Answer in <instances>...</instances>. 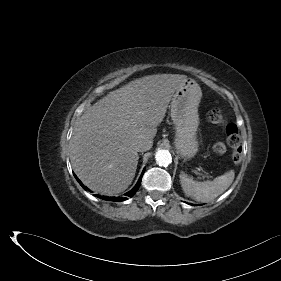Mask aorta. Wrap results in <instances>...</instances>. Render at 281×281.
<instances>
[{
  "label": "aorta",
  "mask_w": 281,
  "mask_h": 281,
  "mask_svg": "<svg viewBox=\"0 0 281 281\" xmlns=\"http://www.w3.org/2000/svg\"><path fill=\"white\" fill-rule=\"evenodd\" d=\"M155 159L160 166H167L172 161L171 154L167 150H158Z\"/></svg>",
  "instance_id": "obj_1"
}]
</instances>
